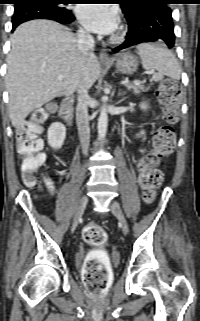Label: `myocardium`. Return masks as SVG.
Instances as JSON below:
<instances>
[{
    "label": "myocardium",
    "instance_id": "1",
    "mask_svg": "<svg viewBox=\"0 0 200 321\" xmlns=\"http://www.w3.org/2000/svg\"><path fill=\"white\" fill-rule=\"evenodd\" d=\"M125 37V31L124 30H119L112 38V42H121Z\"/></svg>",
    "mask_w": 200,
    "mask_h": 321
}]
</instances>
